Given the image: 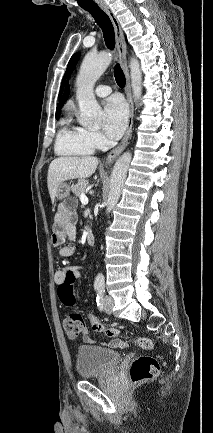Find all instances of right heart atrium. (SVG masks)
Wrapping results in <instances>:
<instances>
[{
  "label": "right heart atrium",
  "instance_id": "obj_1",
  "mask_svg": "<svg viewBox=\"0 0 213 433\" xmlns=\"http://www.w3.org/2000/svg\"><path fill=\"white\" fill-rule=\"evenodd\" d=\"M90 136L96 146H101L104 143V138L99 132L90 131Z\"/></svg>",
  "mask_w": 213,
  "mask_h": 433
}]
</instances>
